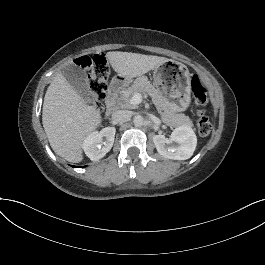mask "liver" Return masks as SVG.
Instances as JSON below:
<instances>
[{
    "label": "liver",
    "instance_id": "6515ba94",
    "mask_svg": "<svg viewBox=\"0 0 265 265\" xmlns=\"http://www.w3.org/2000/svg\"><path fill=\"white\" fill-rule=\"evenodd\" d=\"M112 70L121 78L141 77L169 61L166 57L129 52H107ZM101 109L86 104L63 72L48 87L43 101L42 125L53 151L72 163L83 161V142L102 125Z\"/></svg>",
    "mask_w": 265,
    "mask_h": 265
}]
</instances>
